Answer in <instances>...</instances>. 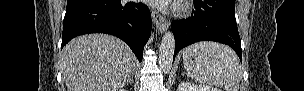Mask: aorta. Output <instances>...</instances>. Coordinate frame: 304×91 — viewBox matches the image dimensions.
<instances>
[{
	"label": "aorta",
	"instance_id": "obj_1",
	"mask_svg": "<svg viewBox=\"0 0 304 91\" xmlns=\"http://www.w3.org/2000/svg\"><path fill=\"white\" fill-rule=\"evenodd\" d=\"M175 50V37L172 32H166L159 47V66L163 72L168 73L172 67Z\"/></svg>",
	"mask_w": 304,
	"mask_h": 91
}]
</instances>
